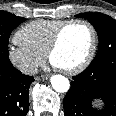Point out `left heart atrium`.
Instances as JSON below:
<instances>
[{
	"mask_svg": "<svg viewBox=\"0 0 116 116\" xmlns=\"http://www.w3.org/2000/svg\"><path fill=\"white\" fill-rule=\"evenodd\" d=\"M51 65L55 68H59L57 65H55L54 63L51 62Z\"/></svg>",
	"mask_w": 116,
	"mask_h": 116,
	"instance_id": "1",
	"label": "left heart atrium"
}]
</instances>
